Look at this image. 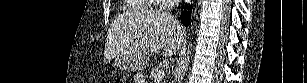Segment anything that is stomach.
<instances>
[{"instance_id": "1", "label": "stomach", "mask_w": 307, "mask_h": 83, "mask_svg": "<svg viewBox=\"0 0 307 83\" xmlns=\"http://www.w3.org/2000/svg\"><path fill=\"white\" fill-rule=\"evenodd\" d=\"M114 65L120 70L138 71L146 67L147 59L127 55H119L114 59Z\"/></svg>"}]
</instances>
